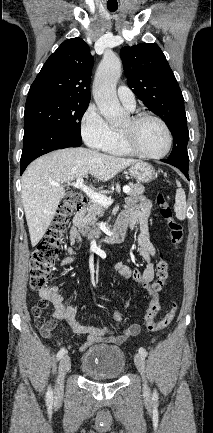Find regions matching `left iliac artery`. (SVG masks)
<instances>
[{"label":"left iliac artery","mask_w":213,"mask_h":433,"mask_svg":"<svg viewBox=\"0 0 213 433\" xmlns=\"http://www.w3.org/2000/svg\"><path fill=\"white\" fill-rule=\"evenodd\" d=\"M139 353H140L141 355H143L144 357L147 356V351H146V349L143 348V347H140V348H139ZM157 398H158V394H157L156 391H154V393H153V399H157Z\"/></svg>","instance_id":"44dca946"}]
</instances>
